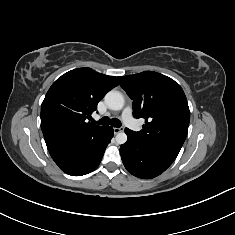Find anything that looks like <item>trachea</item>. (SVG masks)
<instances>
[{"label": "trachea", "mask_w": 235, "mask_h": 235, "mask_svg": "<svg viewBox=\"0 0 235 235\" xmlns=\"http://www.w3.org/2000/svg\"><path fill=\"white\" fill-rule=\"evenodd\" d=\"M95 123H98L101 125L111 124V126L116 127V128H120L122 125L119 119L117 118L110 119L109 117H103L102 119H100L98 122H95Z\"/></svg>", "instance_id": "3493384b"}]
</instances>
